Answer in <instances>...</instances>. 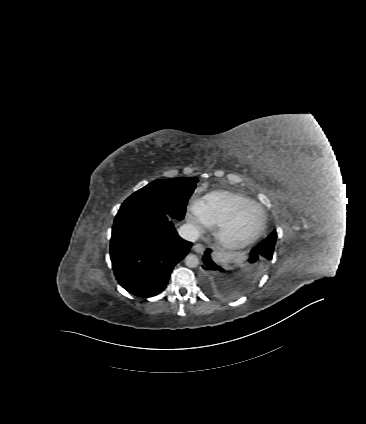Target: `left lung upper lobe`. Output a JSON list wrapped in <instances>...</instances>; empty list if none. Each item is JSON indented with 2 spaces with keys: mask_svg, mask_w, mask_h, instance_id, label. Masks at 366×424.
I'll return each instance as SVG.
<instances>
[{
  "mask_svg": "<svg viewBox=\"0 0 366 424\" xmlns=\"http://www.w3.org/2000/svg\"><path fill=\"white\" fill-rule=\"evenodd\" d=\"M276 240H277V233L276 231H273L265 240H263L256 246L255 250L259 253L260 260L255 265V269H254L255 276H258L262 272L263 266L272 259Z\"/></svg>",
  "mask_w": 366,
  "mask_h": 424,
  "instance_id": "1",
  "label": "left lung upper lobe"
}]
</instances>
